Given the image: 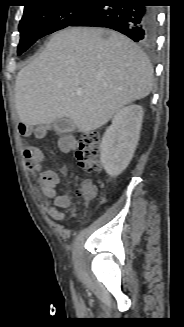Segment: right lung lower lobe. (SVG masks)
I'll list each match as a JSON object with an SVG mask.
<instances>
[{"mask_svg": "<svg viewBox=\"0 0 184 327\" xmlns=\"http://www.w3.org/2000/svg\"><path fill=\"white\" fill-rule=\"evenodd\" d=\"M98 0L71 26H96L116 30L135 42L151 45L156 36L157 20L153 8L142 6L145 0H121L111 6Z\"/></svg>", "mask_w": 184, "mask_h": 327, "instance_id": "98d812e1", "label": "right lung lower lobe"}]
</instances>
